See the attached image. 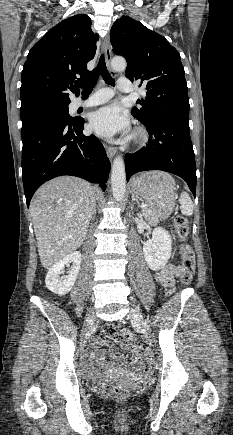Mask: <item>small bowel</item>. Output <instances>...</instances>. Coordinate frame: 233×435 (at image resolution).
<instances>
[{
    "label": "small bowel",
    "instance_id": "1",
    "mask_svg": "<svg viewBox=\"0 0 233 435\" xmlns=\"http://www.w3.org/2000/svg\"><path fill=\"white\" fill-rule=\"evenodd\" d=\"M184 272V268L167 264L162 270L156 273L155 279L171 293L175 285V275L180 276ZM124 350L131 353L132 359L130 361L124 360L117 347L108 339H100L90 348L83 360L89 365V372L92 374L103 371H123L134 374L142 373L145 370L142 357L136 351L129 349L127 345L124 346ZM109 357L115 360L112 361L109 366H106L102 361Z\"/></svg>",
    "mask_w": 233,
    "mask_h": 435
}]
</instances>
